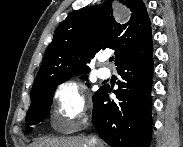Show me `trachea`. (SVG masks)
<instances>
[{
    "instance_id": "obj_1",
    "label": "trachea",
    "mask_w": 183,
    "mask_h": 147,
    "mask_svg": "<svg viewBox=\"0 0 183 147\" xmlns=\"http://www.w3.org/2000/svg\"><path fill=\"white\" fill-rule=\"evenodd\" d=\"M109 61H110V62L114 61V57H110V58H109Z\"/></svg>"
}]
</instances>
